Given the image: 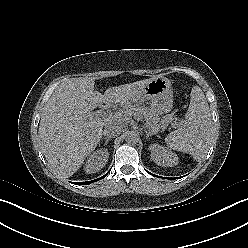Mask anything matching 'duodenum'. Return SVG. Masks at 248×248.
<instances>
[{"label": "duodenum", "instance_id": "obj_1", "mask_svg": "<svg viewBox=\"0 0 248 248\" xmlns=\"http://www.w3.org/2000/svg\"><path fill=\"white\" fill-rule=\"evenodd\" d=\"M108 104L107 103H103L102 105H101V109L102 110H105L106 108H108Z\"/></svg>", "mask_w": 248, "mask_h": 248}]
</instances>
